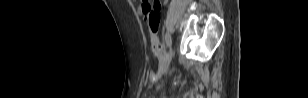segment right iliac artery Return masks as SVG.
<instances>
[{"instance_id":"1","label":"right iliac artery","mask_w":308,"mask_h":98,"mask_svg":"<svg viewBox=\"0 0 308 98\" xmlns=\"http://www.w3.org/2000/svg\"><path fill=\"white\" fill-rule=\"evenodd\" d=\"M164 39H165V42H166L167 46L170 47L172 41H171V37H170V35L168 33L165 34Z\"/></svg>"}]
</instances>
